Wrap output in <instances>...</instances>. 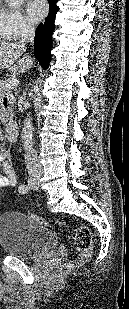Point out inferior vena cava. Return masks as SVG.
Segmentation results:
<instances>
[{
  "instance_id": "602c4592",
  "label": "inferior vena cava",
  "mask_w": 129,
  "mask_h": 309,
  "mask_svg": "<svg viewBox=\"0 0 129 309\" xmlns=\"http://www.w3.org/2000/svg\"><path fill=\"white\" fill-rule=\"evenodd\" d=\"M34 37H35V28L31 23H24L22 27V34H21V39H20V45L22 47H25L27 43H34ZM26 95L27 92L23 91L22 95L19 97V107L25 103L26 100ZM27 157L32 160L34 163V167L37 170H40V165L37 162V155L36 153L32 150L31 153L27 154Z\"/></svg>"
}]
</instances>
